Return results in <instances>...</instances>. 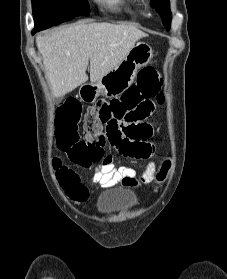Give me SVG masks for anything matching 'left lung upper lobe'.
I'll return each mask as SVG.
<instances>
[{
  "label": "left lung upper lobe",
  "mask_w": 227,
  "mask_h": 279,
  "mask_svg": "<svg viewBox=\"0 0 227 279\" xmlns=\"http://www.w3.org/2000/svg\"><path fill=\"white\" fill-rule=\"evenodd\" d=\"M151 6L159 12L164 26L169 29L171 23V11L169 0H151Z\"/></svg>",
  "instance_id": "5c2ea615"
}]
</instances>
